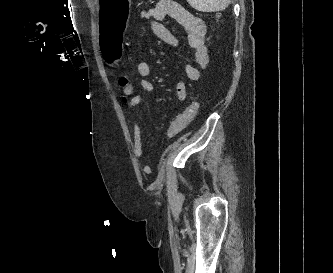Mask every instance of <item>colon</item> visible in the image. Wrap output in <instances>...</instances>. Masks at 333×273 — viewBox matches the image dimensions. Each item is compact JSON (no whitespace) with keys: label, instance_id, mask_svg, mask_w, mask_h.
Listing matches in <instances>:
<instances>
[{"label":"colon","instance_id":"obj_1","mask_svg":"<svg viewBox=\"0 0 333 273\" xmlns=\"http://www.w3.org/2000/svg\"><path fill=\"white\" fill-rule=\"evenodd\" d=\"M118 85L123 100L127 101L131 98L133 94V85L131 81L127 77L122 76L118 80ZM200 105V101H193L182 113L173 118L169 122L167 136L172 138L179 134L196 116Z\"/></svg>","mask_w":333,"mask_h":273}]
</instances>
